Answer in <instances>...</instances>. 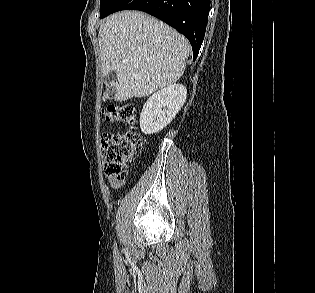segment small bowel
Here are the masks:
<instances>
[{"label":"small bowel","mask_w":315,"mask_h":293,"mask_svg":"<svg viewBox=\"0 0 315 293\" xmlns=\"http://www.w3.org/2000/svg\"><path fill=\"white\" fill-rule=\"evenodd\" d=\"M113 187H118V184L117 183H113Z\"/></svg>","instance_id":"1"}]
</instances>
